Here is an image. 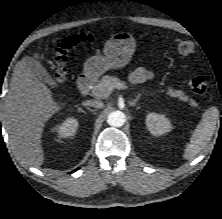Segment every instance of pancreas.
Instances as JSON below:
<instances>
[{
    "mask_svg": "<svg viewBox=\"0 0 222 219\" xmlns=\"http://www.w3.org/2000/svg\"><path fill=\"white\" fill-rule=\"evenodd\" d=\"M116 82H119V79L117 77L109 75L103 76L92 89V95L99 99L106 98L112 92L109 91V86ZM167 94L170 97L178 98V100L188 101L189 105L192 107H198V104L192 98H189L187 95H185V93L181 90H175L169 87L167 89Z\"/></svg>",
    "mask_w": 222,
    "mask_h": 219,
    "instance_id": "pancreas-1",
    "label": "pancreas"
}]
</instances>
